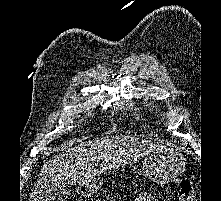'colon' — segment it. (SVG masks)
Listing matches in <instances>:
<instances>
[{
  "label": "colon",
  "instance_id": "5ec220e1",
  "mask_svg": "<svg viewBox=\"0 0 221 201\" xmlns=\"http://www.w3.org/2000/svg\"><path fill=\"white\" fill-rule=\"evenodd\" d=\"M179 195L182 201H195V189L189 179H182L179 185Z\"/></svg>",
  "mask_w": 221,
  "mask_h": 201
}]
</instances>
